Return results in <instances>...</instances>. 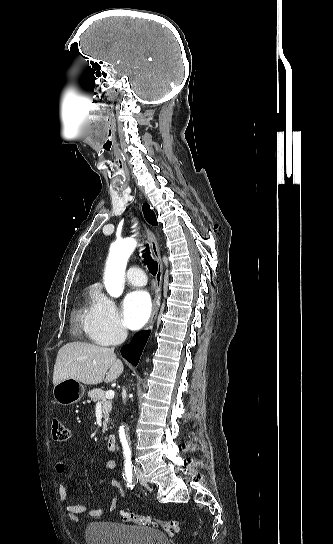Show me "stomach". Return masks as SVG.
Segmentation results:
<instances>
[{
    "label": "stomach",
    "mask_w": 333,
    "mask_h": 544,
    "mask_svg": "<svg viewBox=\"0 0 333 544\" xmlns=\"http://www.w3.org/2000/svg\"><path fill=\"white\" fill-rule=\"evenodd\" d=\"M85 393L84 385L75 379H65L54 385L53 396L55 401L63 406L77 403Z\"/></svg>",
    "instance_id": "stomach-1"
}]
</instances>
